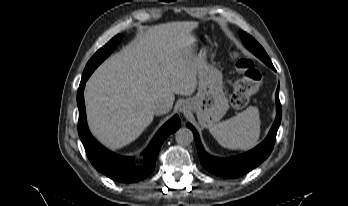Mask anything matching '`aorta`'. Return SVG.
<instances>
[{
    "instance_id": "1",
    "label": "aorta",
    "mask_w": 348,
    "mask_h": 206,
    "mask_svg": "<svg viewBox=\"0 0 348 206\" xmlns=\"http://www.w3.org/2000/svg\"><path fill=\"white\" fill-rule=\"evenodd\" d=\"M175 138L178 144L184 146L189 145L194 140L193 132L186 127H182L177 130L175 133Z\"/></svg>"
}]
</instances>
